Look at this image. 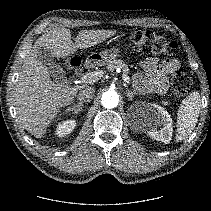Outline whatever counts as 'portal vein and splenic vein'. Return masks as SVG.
<instances>
[{
  "instance_id": "portal-vein-and-splenic-vein-1",
  "label": "portal vein and splenic vein",
  "mask_w": 211,
  "mask_h": 211,
  "mask_svg": "<svg viewBox=\"0 0 211 211\" xmlns=\"http://www.w3.org/2000/svg\"><path fill=\"white\" fill-rule=\"evenodd\" d=\"M100 75L99 72H95V73H88V74H85L81 77V80L84 81V82H92V81H95V79ZM122 78L123 80L129 84L130 83V78L129 76H127L126 74H123L122 75Z\"/></svg>"
}]
</instances>
